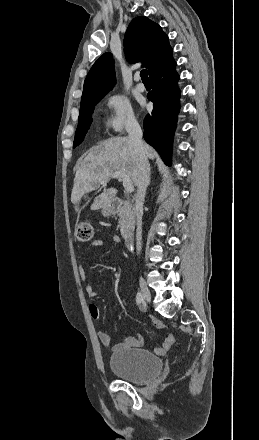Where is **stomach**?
Wrapping results in <instances>:
<instances>
[{
  "label": "stomach",
  "instance_id": "0dacf381",
  "mask_svg": "<svg viewBox=\"0 0 259 440\" xmlns=\"http://www.w3.org/2000/svg\"><path fill=\"white\" fill-rule=\"evenodd\" d=\"M102 214L105 217H109L114 214V210L108 205L102 209Z\"/></svg>",
  "mask_w": 259,
  "mask_h": 440
}]
</instances>
